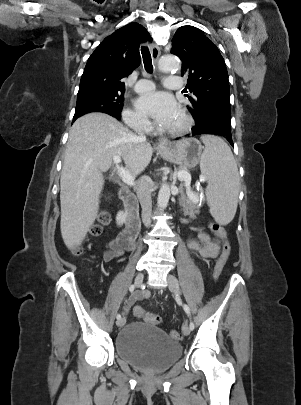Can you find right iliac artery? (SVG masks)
<instances>
[{
	"label": "right iliac artery",
	"instance_id": "obj_1",
	"mask_svg": "<svg viewBox=\"0 0 301 405\" xmlns=\"http://www.w3.org/2000/svg\"><path fill=\"white\" fill-rule=\"evenodd\" d=\"M134 290H135V285H131V286L129 287V291H130V292H133ZM116 318H117V319H120V318H121V314H117Z\"/></svg>",
	"mask_w": 301,
	"mask_h": 405
}]
</instances>
